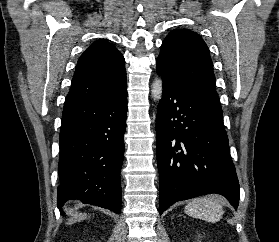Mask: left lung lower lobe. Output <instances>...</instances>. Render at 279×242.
I'll list each match as a JSON object with an SVG mask.
<instances>
[{
    "label": "left lung lower lobe",
    "mask_w": 279,
    "mask_h": 242,
    "mask_svg": "<svg viewBox=\"0 0 279 242\" xmlns=\"http://www.w3.org/2000/svg\"><path fill=\"white\" fill-rule=\"evenodd\" d=\"M163 94L157 106L160 214L177 201L218 193L235 208L239 183L222 111L157 60Z\"/></svg>",
    "instance_id": "obj_1"
}]
</instances>
